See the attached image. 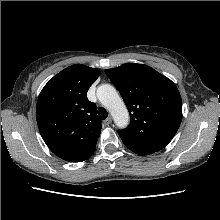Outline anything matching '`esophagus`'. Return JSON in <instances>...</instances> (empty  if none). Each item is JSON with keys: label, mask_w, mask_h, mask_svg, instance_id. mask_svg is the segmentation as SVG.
Wrapping results in <instances>:
<instances>
[{"label": "esophagus", "mask_w": 220, "mask_h": 220, "mask_svg": "<svg viewBox=\"0 0 220 220\" xmlns=\"http://www.w3.org/2000/svg\"><path fill=\"white\" fill-rule=\"evenodd\" d=\"M111 122H112V117H108L107 119L104 120V124H105L106 126H108L109 124H111Z\"/></svg>", "instance_id": "obj_1"}]
</instances>
